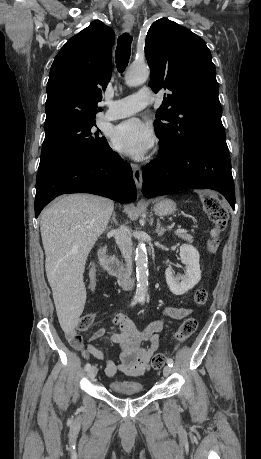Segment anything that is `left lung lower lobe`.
I'll return each instance as SVG.
<instances>
[{"instance_id": "obj_1", "label": "left lung lower lobe", "mask_w": 261, "mask_h": 459, "mask_svg": "<svg viewBox=\"0 0 261 459\" xmlns=\"http://www.w3.org/2000/svg\"><path fill=\"white\" fill-rule=\"evenodd\" d=\"M147 198L185 189H213L235 206V189L225 137L200 139L184 149L160 144L158 157L143 169Z\"/></svg>"}]
</instances>
